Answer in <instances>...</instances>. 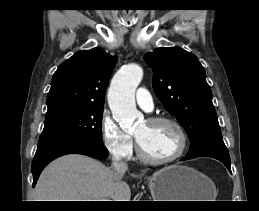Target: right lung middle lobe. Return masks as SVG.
<instances>
[{"instance_id": "dd1d6c3e", "label": "right lung middle lobe", "mask_w": 259, "mask_h": 211, "mask_svg": "<svg viewBox=\"0 0 259 211\" xmlns=\"http://www.w3.org/2000/svg\"><path fill=\"white\" fill-rule=\"evenodd\" d=\"M103 107H87L59 118L45 121L39 143L50 140L74 138L103 144L102 127Z\"/></svg>"}]
</instances>
